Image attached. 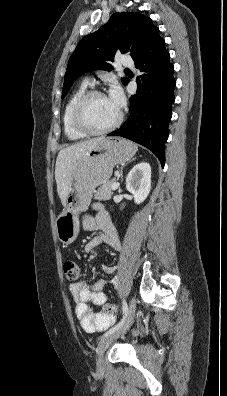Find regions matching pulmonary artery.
Instances as JSON below:
<instances>
[{
	"mask_svg": "<svg viewBox=\"0 0 227 396\" xmlns=\"http://www.w3.org/2000/svg\"><path fill=\"white\" fill-rule=\"evenodd\" d=\"M121 63L125 67H133L134 66V62H133V60L130 57L123 58ZM85 83H89V80L86 79Z\"/></svg>",
	"mask_w": 227,
	"mask_h": 396,
	"instance_id": "pulmonary-artery-1",
	"label": "pulmonary artery"
}]
</instances>
